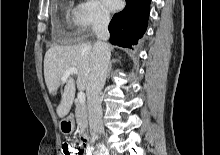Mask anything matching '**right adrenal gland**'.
I'll use <instances>...</instances> for the list:
<instances>
[{"label": "right adrenal gland", "mask_w": 220, "mask_h": 155, "mask_svg": "<svg viewBox=\"0 0 220 155\" xmlns=\"http://www.w3.org/2000/svg\"><path fill=\"white\" fill-rule=\"evenodd\" d=\"M117 60H111L110 62H109V67H108V76L110 75V72H111V69H112V64L113 63H115Z\"/></svg>", "instance_id": "1"}]
</instances>
